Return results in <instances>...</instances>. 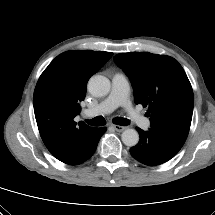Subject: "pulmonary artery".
<instances>
[{"mask_svg":"<svg viewBox=\"0 0 215 215\" xmlns=\"http://www.w3.org/2000/svg\"><path fill=\"white\" fill-rule=\"evenodd\" d=\"M128 93L129 87L125 75L116 73L112 78V88L108 97L95 107L85 110L84 114L87 117L104 115L112 112L118 106H123L133 123L142 128H148L150 126L149 120L132 107Z\"/></svg>","mask_w":215,"mask_h":215,"instance_id":"1","label":"pulmonary artery"}]
</instances>
